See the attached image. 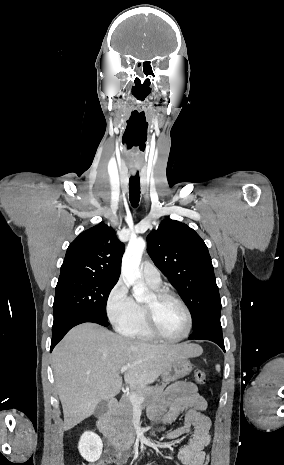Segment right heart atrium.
Returning a JSON list of instances; mask_svg holds the SVG:
<instances>
[{
    "instance_id": "1",
    "label": "right heart atrium",
    "mask_w": 284,
    "mask_h": 465,
    "mask_svg": "<svg viewBox=\"0 0 284 465\" xmlns=\"http://www.w3.org/2000/svg\"><path fill=\"white\" fill-rule=\"evenodd\" d=\"M136 308L137 304L129 295L127 285L120 279L106 297L105 312L109 321L120 328L133 318Z\"/></svg>"
}]
</instances>
